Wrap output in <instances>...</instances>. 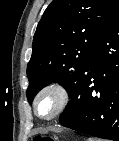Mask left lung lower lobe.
<instances>
[{
  "label": "left lung lower lobe",
  "instance_id": "left-lung-lower-lobe-1",
  "mask_svg": "<svg viewBox=\"0 0 119 141\" xmlns=\"http://www.w3.org/2000/svg\"><path fill=\"white\" fill-rule=\"evenodd\" d=\"M61 114L64 127L119 141V12L99 37L77 90Z\"/></svg>",
  "mask_w": 119,
  "mask_h": 141
}]
</instances>
